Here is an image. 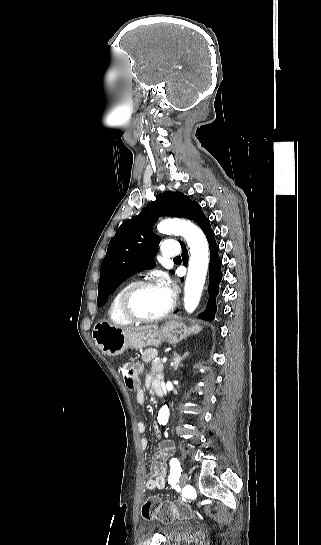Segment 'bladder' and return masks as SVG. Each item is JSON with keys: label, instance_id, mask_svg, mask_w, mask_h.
<instances>
[{"label": "bladder", "instance_id": "bladder-1", "mask_svg": "<svg viewBox=\"0 0 321 545\" xmlns=\"http://www.w3.org/2000/svg\"><path fill=\"white\" fill-rule=\"evenodd\" d=\"M158 530L170 542H180L184 540L191 529V524L188 521H171L158 523Z\"/></svg>", "mask_w": 321, "mask_h": 545}]
</instances>
